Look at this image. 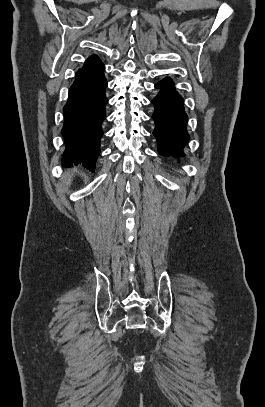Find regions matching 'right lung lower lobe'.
<instances>
[{"instance_id": "obj_1", "label": "right lung lower lobe", "mask_w": 265, "mask_h": 407, "mask_svg": "<svg viewBox=\"0 0 265 407\" xmlns=\"http://www.w3.org/2000/svg\"><path fill=\"white\" fill-rule=\"evenodd\" d=\"M104 69L98 56H90L77 71L69 89L61 131L66 144L62 160L67 167L82 163L91 170L95 168L103 135L101 124L106 118L105 106L108 102Z\"/></svg>"}]
</instances>
